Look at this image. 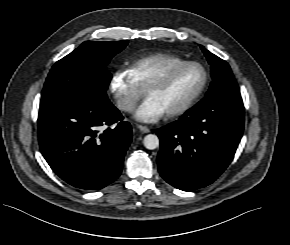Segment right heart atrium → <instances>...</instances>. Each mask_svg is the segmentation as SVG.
<instances>
[{"label": "right heart atrium", "instance_id": "obj_1", "mask_svg": "<svg viewBox=\"0 0 290 245\" xmlns=\"http://www.w3.org/2000/svg\"><path fill=\"white\" fill-rule=\"evenodd\" d=\"M110 90L118 108L130 112L135 107L141 88L129 69L118 68L110 80Z\"/></svg>", "mask_w": 290, "mask_h": 245}]
</instances>
